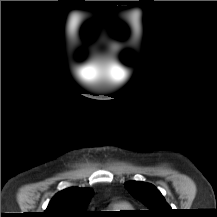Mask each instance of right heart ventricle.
Wrapping results in <instances>:
<instances>
[{
	"label": "right heart ventricle",
	"mask_w": 217,
	"mask_h": 217,
	"mask_svg": "<svg viewBox=\"0 0 217 217\" xmlns=\"http://www.w3.org/2000/svg\"><path fill=\"white\" fill-rule=\"evenodd\" d=\"M131 209V206L127 203H114L108 207V210L112 213H120L126 210Z\"/></svg>",
	"instance_id": "e07e8e85"
}]
</instances>
